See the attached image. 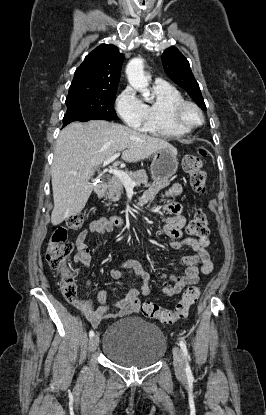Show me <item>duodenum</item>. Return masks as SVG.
Masks as SVG:
<instances>
[{
    "label": "duodenum",
    "instance_id": "410a0bca",
    "mask_svg": "<svg viewBox=\"0 0 266 415\" xmlns=\"http://www.w3.org/2000/svg\"><path fill=\"white\" fill-rule=\"evenodd\" d=\"M105 189H106V184L104 183V182H99L95 187H94V192L97 194V195H102L103 193H104V191H105ZM109 224L111 225V226H115V227H121V226H123L124 225V220L122 219V218H120V217H113V218H111L109 221Z\"/></svg>",
    "mask_w": 266,
    "mask_h": 415
}]
</instances>
